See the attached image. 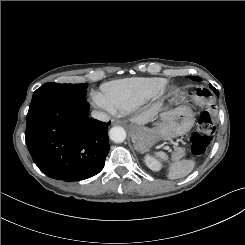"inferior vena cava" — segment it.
I'll return each mask as SVG.
<instances>
[{"label": "inferior vena cava", "instance_id": "1", "mask_svg": "<svg viewBox=\"0 0 245 245\" xmlns=\"http://www.w3.org/2000/svg\"><path fill=\"white\" fill-rule=\"evenodd\" d=\"M91 116L102 122H108L110 120V117L106 113L97 110H93Z\"/></svg>", "mask_w": 245, "mask_h": 245}]
</instances>
